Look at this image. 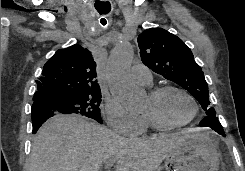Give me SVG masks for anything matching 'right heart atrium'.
<instances>
[{"label": "right heart atrium", "instance_id": "right-heart-atrium-1", "mask_svg": "<svg viewBox=\"0 0 245 171\" xmlns=\"http://www.w3.org/2000/svg\"><path fill=\"white\" fill-rule=\"evenodd\" d=\"M103 117L114 132L124 136L134 137L145 129L143 116L129 112L114 99H110L105 103Z\"/></svg>", "mask_w": 245, "mask_h": 171}]
</instances>
